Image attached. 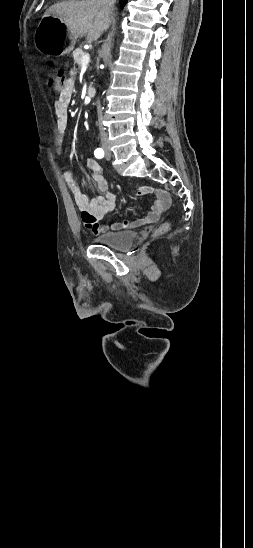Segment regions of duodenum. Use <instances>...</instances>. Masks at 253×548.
I'll return each mask as SVG.
<instances>
[{"label":"duodenum","instance_id":"duodenum-1","mask_svg":"<svg viewBox=\"0 0 253 548\" xmlns=\"http://www.w3.org/2000/svg\"><path fill=\"white\" fill-rule=\"evenodd\" d=\"M96 94V89L94 87H89L87 89V96L93 98Z\"/></svg>","mask_w":253,"mask_h":548}]
</instances>
